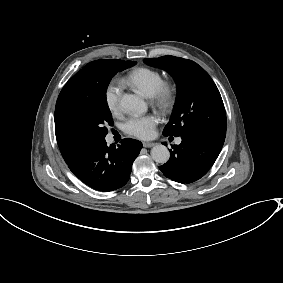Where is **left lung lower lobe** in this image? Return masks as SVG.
I'll return each instance as SVG.
<instances>
[{
    "label": "left lung lower lobe",
    "instance_id": "left-lung-lower-lobe-1",
    "mask_svg": "<svg viewBox=\"0 0 283 283\" xmlns=\"http://www.w3.org/2000/svg\"><path fill=\"white\" fill-rule=\"evenodd\" d=\"M182 142L172 145L170 159L159 166L165 177L179 182L192 183L204 176L217 159L224 140L196 135H181Z\"/></svg>",
    "mask_w": 283,
    "mask_h": 283
}]
</instances>
